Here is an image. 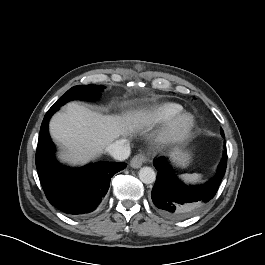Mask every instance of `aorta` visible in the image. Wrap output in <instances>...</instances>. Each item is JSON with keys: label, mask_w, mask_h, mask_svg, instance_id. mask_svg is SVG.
Returning a JSON list of instances; mask_svg holds the SVG:
<instances>
[{"label": "aorta", "mask_w": 265, "mask_h": 265, "mask_svg": "<svg viewBox=\"0 0 265 265\" xmlns=\"http://www.w3.org/2000/svg\"><path fill=\"white\" fill-rule=\"evenodd\" d=\"M139 179L144 184H152L156 180V173L151 167H143L139 171Z\"/></svg>", "instance_id": "aorta-1"}]
</instances>
